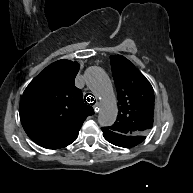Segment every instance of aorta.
<instances>
[{
	"instance_id": "1",
	"label": "aorta",
	"mask_w": 193,
	"mask_h": 193,
	"mask_svg": "<svg viewBox=\"0 0 193 193\" xmlns=\"http://www.w3.org/2000/svg\"><path fill=\"white\" fill-rule=\"evenodd\" d=\"M87 86L100 99L102 108L98 115L101 126H111L118 114L117 100L112 83L106 72L96 66L89 67L85 73Z\"/></svg>"
}]
</instances>
